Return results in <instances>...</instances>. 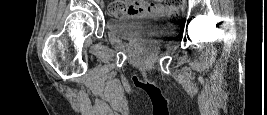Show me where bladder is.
<instances>
[{
    "instance_id": "bladder-1",
    "label": "bladder",
    "mask_w": 267,
    "mask_h": 115,
    "mask_svg": "<svg viewBox=\"0 0 267 115\" xmlns=\"http://www.w3.org/2000/svg\"><path fill=\"white\" fill-rule=\"evenodd\" d=\"M162 17L159 13H126L107 20V29L116 37L122 39L157 38L164 35V30L154 26Z\"/></svg>"
}]
</instances>
